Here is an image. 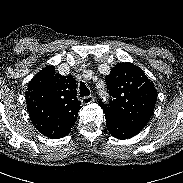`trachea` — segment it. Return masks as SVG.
<instances>
[{
	"label": "trachea",
	"mask_w": 183,
	"mask_h": 183,
	"mask_svg": "<svg viewBox=\"0 0 183 183\" xmlns=\"http://www.w3.org/2000/svg\"><path fill=\"white\" fill-rule=\"evenodd\" d=\"M79 90H80V95H81V96L90 95V91H89V89L87 88V86L85 85L84 82H81V83H80V88H79Z\"/></svg>",
	"instance_id": "trachea-1"
}]
</instances>
